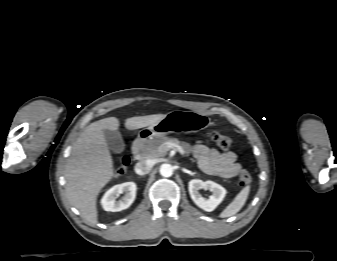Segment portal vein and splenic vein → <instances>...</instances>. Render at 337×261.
Here are the masks:
<instances>
[{"label": "portal vein and splenic vein", "instance_id": "18ae733b", "mask_svg": "<svg viewBox=\"0 0 337 261\" xmlns=\"http://www.w3.org/2000/svg\"><path fill=\"white\" fill-rule=\"evenodd\" d=\"M164 148H165L166 151L175 148L183 156H184V153H185L183 148L180 145H178L176 143H173V142L165 143Z\"/></svg>", "mask_w": 337, "mask_h": 261}]
</instances>
